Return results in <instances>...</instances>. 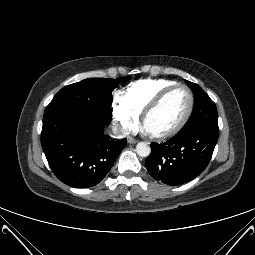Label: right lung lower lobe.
<instances>
[{
    "instance_id": "obj_1",
    "label": "right lung lower lobe",
    "mask_w": 255,
    "mask_h": 255,
    "mask_svg": "<svg viewBox=\"0 0 255 255\" xmlns=\"http://www.w3.org/2000/svg\"><path fill=\"white\" fill-rule=\"evenodd\" d=\"M77 125L79 128L73 130ZM95 117L71 110L44 114L41 144L55 176L75 188L98 184L110 171L126 139L112 140Z\"/></svg>"
}]
</instances>
